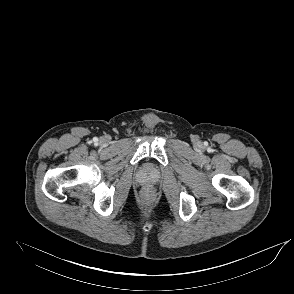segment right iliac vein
I'll return each mask as SVG.
<instances>
[{
	"instance_id": "obj_1",
	"label": "right iliac vein",
	"mask_w": 294,
	"mask_h": 294,
	"mask_svg": "<svg viewBox=\"0 0 294 294\" xmlns=\"http://www.w3.org/2000/svg\"><path fill=\"white\" fill-rule=\"evenodd\" d=\"M99 143L103 146H106L108 143H109V139L107 137H102L100 140H99Z\"/></svg>"
}]
</instances>
